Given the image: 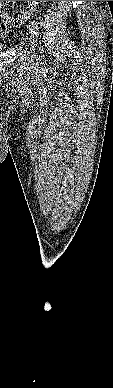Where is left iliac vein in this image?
Segmentation results:
<instances>
[{
    "label": "left iliac vein",
    "instance_id": "1",
    "mask_svg": "<svg viewBox=\"0 0 113 388\" xmlns=\"http://www.w3.org/2000/svg\"><path fill=\"white\" fill-rule=\"evenodd\" d=\"M26 41H27V43H28V46H29V48H30V51H31L32 53H34V52H35V38H34V36L32 35L31 32L27 33V35H26Z\"/></svg>",
    "mask_w": 113,
    "mask_h": 388
}]
</instances>
